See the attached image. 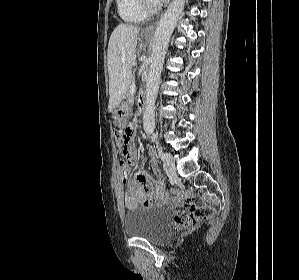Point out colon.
Segmentation results:
<instances>
[{"label":"colon","mask_w":299,"mask_h":280,"mask_svg":"<svg viewBox=\"0 0 299 280\" xmlns=\"http://www.w3.org/2000/svg\"><path fill=\"white\" fill-rule=\"evenodd\" d=\"M132 134L131 128L115 133L118 149L123 158L120 162V176L123 181L127 180L135 165L131 145ZM213 214L214 210L203 205L200 198L192 197L185 203L184 208L174 210V220L180 226L192 227L210 219Z\"/></svg>","instance_id":"1"}]
</instances>
